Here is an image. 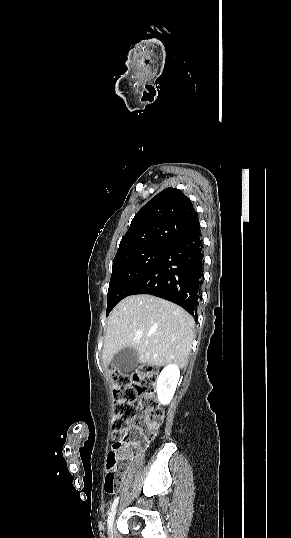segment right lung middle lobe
Instances as JSON below:
<instances>
[{"instance_id":"dd1d6c3e","label":"right lung middle lobe","mask_w":291,"mask_h":538,"mask_svg":"<svg viewBox=\"0 0 291 538\" xmlns=\"http://www.w3.org/2000/svg\"><path fill=\"white\" fill-rule=\"evenodd\" d=\"M169 249L170 246L148 245L115 256L108 289L107 316L119 301L131 294Z\"/></svg>"}]
</instances>
